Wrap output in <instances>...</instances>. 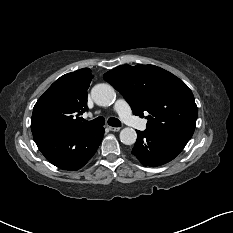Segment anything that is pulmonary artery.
Instances as JSON below:
<instances>
[{
    "mask_svg": "<svg viewBox=\"0 0 233 233\" xmlns=\"http://www.w3.org/2000/svg\"><path fill=\"white\" fill-rule=\"evenodd\" d=\"M114 110L118 113L125 124L140 130L146 129V121L134 116L128 103L124 99L116 101Z\"/></svg>",
    "mask_w": 233,
    "mask_h": 233,
    "instance_id": "pulmonary-artery-1",
    "label": "pulmonary artery"
}]
</instances>
